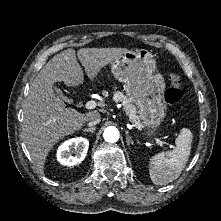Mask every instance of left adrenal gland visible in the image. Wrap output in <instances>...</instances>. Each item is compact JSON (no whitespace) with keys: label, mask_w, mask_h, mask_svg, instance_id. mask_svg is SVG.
<instances>
[{"label":"left adrenal gland","mask_w":221,"mask_h":221,"mask_svg":"<svg viewBox=\"0 0 221 221\" xmlns=\"http://www.w3.org/2000/svg\"><path fill=\"white\" fill-rule=\"evenodd\" d=\"M126 143H127V145H130V144L133 145V140H132L131 137L129 136L128 131H126Z\"/></svg>","instance_id":"left-adrenal-gland-1"}]
</instances>
